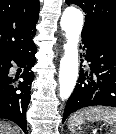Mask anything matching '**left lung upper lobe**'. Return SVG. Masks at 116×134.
<instances>
[{
    "instance_id": "5c2ea615",
    "label": "left lung upper lobe",
    "mask_w": 116,
    "mask_h": 134,
    "mask_svg": "<svg viewBox=\"0 0 116 134\" xmlns=\"http://www.w3.org/2000/svg\"><path fill=\"white\" fill-rule=\"evenodd\" d=\"M85 12L82 36L92 35L116 41V0H66Z\"/></svg>"
}]
</instances>
